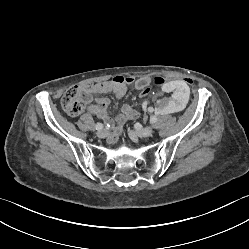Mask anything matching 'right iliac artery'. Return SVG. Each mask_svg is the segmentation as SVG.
Wrapping results in <instances>:
<instances>
[{
  "instance_id": "obj_1",
  "label": "right iliac artery",
  "mask_w": 249,
  "mask_h": 249,
  "mask_svg": "<svg viewBox=\"0 0 249 249\" xmlns=\"http://www.w3.org/2000/svg\"><path fill=\"white\" fill-rule=\"evenodd\" d=\"M95 127H96L97 130H101L103 128V124L102 123H97L95 125Z\"/></svg>"
}]
</instances>
